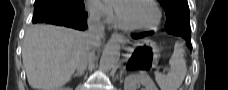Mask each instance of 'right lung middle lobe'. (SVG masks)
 Instances as JSON below:
<instances>
[{
  "mask_svg": "<svg viewBox=\"0 0 228 90\" xmlns=\"http://www.w3.org/2000/svg\"><path fill=\"white\" fill-rule=\"evenodd\" d=\"M37 1V0H36ZM35 1V2H36ZM73 2H75L76 3V5L78 4V5H82V2L80 1V0H74Z\"/></svg>",
  "mask_w": 228,
  "mask_h": 90,
  "instance_id": "right-lung-middle-lobe-1",
  "label": "right lung middle lobe"
}]
</instances>
